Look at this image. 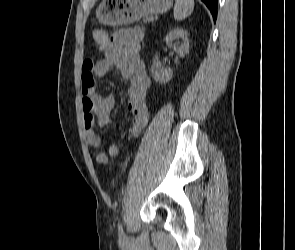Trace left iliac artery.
Masks as SVG:
<instances>
[{
  "label": "left iliac artery",
  "instance_id": "1",
  "mask_svg": "<svg viewBox=\"0 0 295 250\" xmlns=\"http://www.w3.org/2000/svg\"><path fill=\"white\" fill-rule=\"evenodd\" d=\"M118 232H119V238L120 239H124L125 238V233L123 231V227H122V224L121 223L118 226Z\"/></svg>",
  "mask_w": 295,
  "mask_h": 250
}]
</instances>
